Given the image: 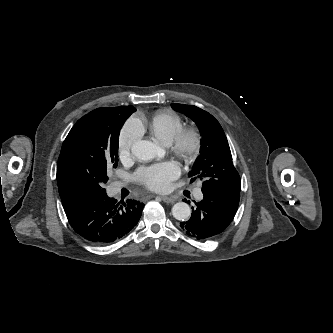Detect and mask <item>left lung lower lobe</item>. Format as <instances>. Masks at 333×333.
Listing matches in <instances>:
<instances>
[{"instance_id":"left-lung-lower-lobe-1","label":"left lung lower lobe","mask_w":333,"mask_h":333,"mask_svg":"<svg viewBox=\"0 0 333 333\" xmlns=\"http://www.w3.org/2000/svg\"><path fill=\"white\" fill-rule=\"evenodd\" d=\"M203 200L196 203L191 218L180 223L189 236L207 239L223 232L233 220L240 193L220 194L202 189Z\"/></svg>"}]
</instances>
